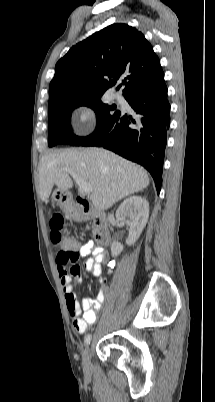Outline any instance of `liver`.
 Here are the masks:
<instances>
[{
  "instance_id": "obj_1",
  "label": "liver",
  "mask_w": 215,
  "mask_h": 402,
  "mask_svg": "<svg viewBox=\"0 0 215 402\" xmlns=\"http://www.w3.org/2000/svg\"><path fill=\"white\" fill-rule=\"evenodd\" d=\"M63 168L71 169L92 185L90 199L99 211L149 185L147 172L140 166L103 148L68 149L43 156L39 163V188L46 202L53 186L67 191L73 182Z\"/></svg>"
}]
</instances>
